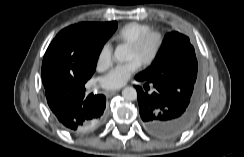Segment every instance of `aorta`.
I'll return each instance as SVG.
<instances>
[{
	"label": "aorta",
	"instance_id": "762f6f07",
	"mask_svg": "<svg viewBox=\"0 0 244 157\" xmlns=\"http://www.w3.org/2000/svg\"><path fill=\"white\" fill-rule=\"evenodd\" d=\"M127 52L122 47H117L114 52V58L118 62H123L126 59ZM122 96L127 101H134L137 99V91L133 87H126L122 90Z\"/></svg>",
	"mask_w": 244,
	"mask_h": 157
}]
</instances>
